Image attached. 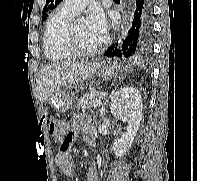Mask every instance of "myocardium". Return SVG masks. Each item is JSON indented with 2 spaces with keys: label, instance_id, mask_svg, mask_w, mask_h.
Returning a JSON list of instances; mask_svg holds the SVG:
<instances>
[{
  "label": "myocardium",
  "instance_id": "obj_1",
  "mask_svg": "<svg viewBox=\"0 0 197 181\" xmlns=\"http://www.w3.org/2000/svg\"><path fill=\"white\" fill-rule=\"evenodd\" d=\"M78 19H73L67 28L65 44L67 49L74 55L78 57H89L97 54L104 46L105 40L102 39L101 42L92 49H83L77 42L76 37V24Z\"/></svg>",
  "mask_w": 197,
  "mask_h": 181
}]
</instances>
